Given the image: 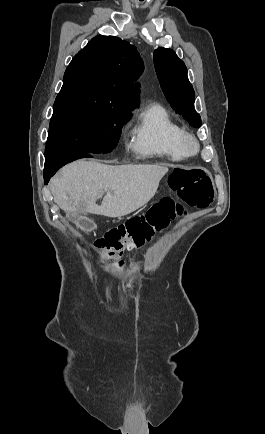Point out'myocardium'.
Listing matches in <instances>:
<instances>
[{"mask_svg": "<svg viewBox=\"0 0 265 434\" xmlns=\"http://www.w3.org/2000/svg\"><path fill=\"white\" fill-rule=\"evenodd\" d=\"M179 148L185 158H194L202 151L199 139L190 132H186L179 138Z\"/></svg>", "mask_w": 265, "mask_h": 434, "instance_id": "obj_1", "label": "myocardium"}]
</instances>
